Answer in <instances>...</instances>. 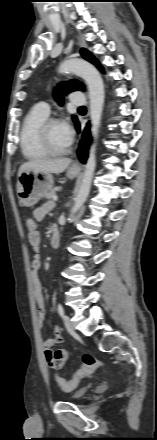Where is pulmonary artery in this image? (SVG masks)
<instances>
[{"label": "pulmonary artery", "instance_id": "1", "mask_svg": "<svg viewBox=\"0 0 157 440\" xmlns=\"http://www.w3.org/2000/svg\"><path fill=\"white\" fill-rule=\"evenodd\" d=\"M71 103L79 106H83L85 104V98L83 93L81 92H72L70 94ZM37 107L46 115L50 113V106L46 102H40Z\"/></svg>", "mask_w": 157, "mask_h": 440}]
</instances>
